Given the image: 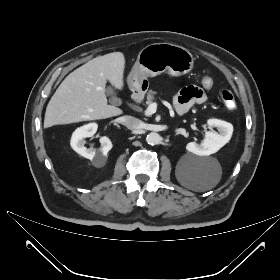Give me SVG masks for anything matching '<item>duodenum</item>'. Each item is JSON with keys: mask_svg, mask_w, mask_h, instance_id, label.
Returning <instances> with one entry per match:
<instances>
[{"mask_svg": "<svg viewBox=\"0 0 280 280\" xmlns=\"http://www.w3.org/2000/svg\"><path fill=\"white\" fill-rule=\"evenodd\" d=\"M144 96V89L141 87L140 84L135 86L133 93H132V100L134 103H139Z\"/></svg>", "mask_w": 280, "mask_h": 280, "instance_id": "410a0bca", "label": "duodenum"}]
</instances>
